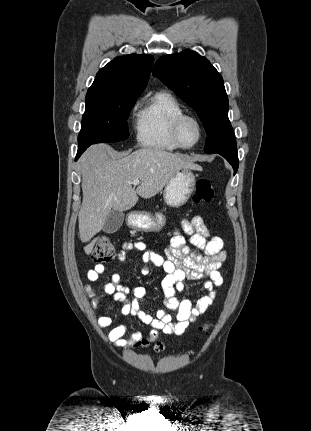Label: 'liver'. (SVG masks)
Instances as JSON below:
<instances>
[{
    "instance_id": "1",
    "label": "liver",
    "mask_w": 311,
    "mask_h": 431,
    "mask_svg": "<svg viewBox=\"0 0 311 431\" xmlns=\"http://www.w3.org/2000/svg\"><path fill=\"white\" fill-rule=\"evenodd\" d=\"M118 154L107 144L91 146L79 160L82 174L83 200L78 221L84 251L91 253L105 219L112 210L127 212L136 206L140 198H153L169 184L176 172L202 170L193 158L171 154L158 148H142L136 152ZM112 154V158L108 156ZM140 180L134 190L131 182ZM94 237V239H92Z\"/></svg>"
}]
</instances>
